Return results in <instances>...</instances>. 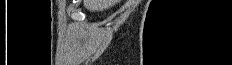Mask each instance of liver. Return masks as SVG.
Returning a JSON list of instances; mask_svg holds the SVG:
<instances>
[{
  "mask_svg": "<svg viewBox=\"0 0 232 65\" xmlns=\"http://www.w3.org/2000/svg\"><path fill=\"white\" fill-rule=\"evenodd\" d=\"M119 1L120 0H83V4L87 10L95 12L106 10Z\"/></svg>",
  "mask_w": 232,
  "mask_h": 65,
  "instance_id": "obj_1",
  "label": "liver"
}]
</instances>
